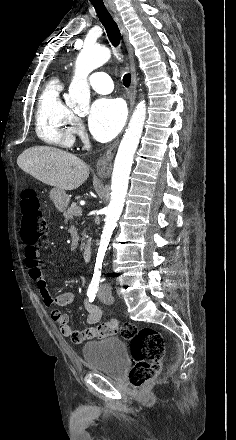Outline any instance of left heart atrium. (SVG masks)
I'll use <instances>...</instances> for the list:
<instances>
[{
    "instance_id": "obj_1",
    "label": "left heart atrium",
    "mask_w": 236,
    "mask_h": 440,
    "mask_svg": "<svg viewBox=\"0 0 236 440\" xmlns=\"http://www.w3.org/2000/svg\"><path fill=\"white\" fill-rule=\"evenodd\" d=\"M125 118V106L121 100L99 98L92 104L90 109V131L98 141L107 142L119 133Z\"/></svg>"
}]
</instances>
